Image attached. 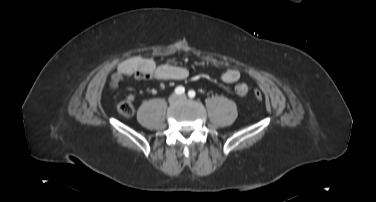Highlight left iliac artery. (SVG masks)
<instances>
[{
    "mask_svg": "<svg viewBox=\"0 0 376 202\" xmlns=\"http://www.w3.org/2000/svg\"><path fill=\"white\" fill-rule=\"evenodd\" d=\"M195 95H196V93H195L194 90H190V91L188 92V96H189L190 98H194Z\"/></svg>",
    "mask_w": 376,
    "mask_h": 202,
    "instance_id": "obj_1",
    "label": "left iliac artery"
}]
</instances>
